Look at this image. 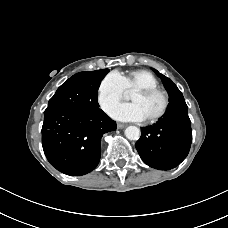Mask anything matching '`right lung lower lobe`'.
Here are the masks:
<instances>
[{"mask_svg":"<svg viewBox=\"0 0 228 228\" xmlns=\"http://www.w3.org/2000/svg\"><path fill=\"white\" fill-rule=\"evenodd\" d=\"M114 130L116 122L99 108L88 111L47 108L42 127L43 150L60 172L84 175L99 163L103 134Z\"/></svg>","mask_w":228,"mask_h":228,"instance_id":"right-lung-lower-lobe-1","label":"right lung lower lobe"}]
</instances>
